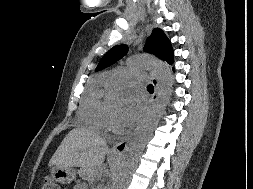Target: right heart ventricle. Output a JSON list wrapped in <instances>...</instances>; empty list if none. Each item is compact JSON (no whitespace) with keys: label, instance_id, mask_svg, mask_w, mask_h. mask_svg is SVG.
<instances>
[{"label":"right heart ventricle","instance_id":"obj_1","mask_svg":"<svg viewBox=\"0 0 253 189\" xmlns=\"http://www.w3.org/2000/svg\"><path fill=\"white\" fill-rule=\"evenodd\" d=\"M108 90L107 83L94 85L89 89L79 112V121L86 128L102 132L109 127L111 112L104 102Z\"/></svg>","mask_w":253,"mask_h":189}]
</instances>
